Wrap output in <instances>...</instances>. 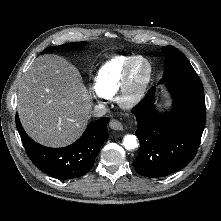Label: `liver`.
Listing matches in <instances>:
<instances>
[{
    "label": "liver",
    "instance_id": "obj_1",
    "mask_svg": "<svg viewBox=\"0 0 221 221\" xmlns=\"http://www.w3.org/2000/svg\"><path fill=\"white\" fill-rule=\"evenodd\" d=\"M91 96L79 71L57 55L36 59L18 89V114L28 135L49 147L76 141L90 119Z\"/></svg>",
    "mask_w": 221,
    "mask_h": 221
}]
</instances>
